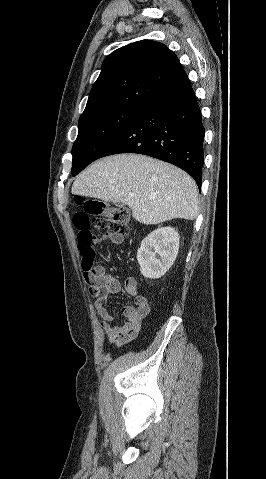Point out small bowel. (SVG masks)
I'll list each match as a JSON object with an SVG mask.
<instances>
[{
  "label": "small bowel",
  "mask_w": 266,
  "mask_h": 479,
  "mask_svg": "<svg viewBox=\"0 0 266 479\" xmlns=\"http://www.w3.org/2000/svg\"><path fill=\"white\" fill-rule=\"evenodd\" d=\"M107 240L121 243L123 238L112 233H104L92 237L91 245ZM93 275L98 290V294L94 296L95 307L101 318V326L108 341L116 346L130 342L138 334L141 321L150 310L146 297L138 292L136 279L129 277L125 282V291L133 298L135 305H125L122 308L125 320L122 323H114V316L108 307L109 298L112 295L119 294L122 291V286L119 280L108 274L102 265H97L94 268Z\"/></svg>",
  "instance_id": "1"
}]
</instances>
